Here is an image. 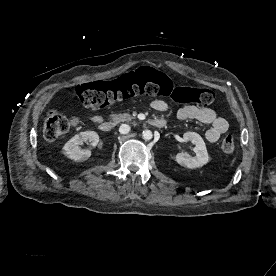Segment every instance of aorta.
Here are the masks:
<instances>
[{
	"instance_id": "762f6f07",
	"label": "aorta",
	"mask_w": 276,
	"mask_h": 276,
	"mask_svg": "<svg viewBox=\"0 0 276 276\" xmlns=\"http://www.w3.org/2000/svg\"><path fill=\"white\" fill-rule=\"evenodd\" d=\"M142 136H143L144 140L149 141V140L152 139L153 134L150 130H144L143 133H142Z\"/></svg>"
}]
</instances>
